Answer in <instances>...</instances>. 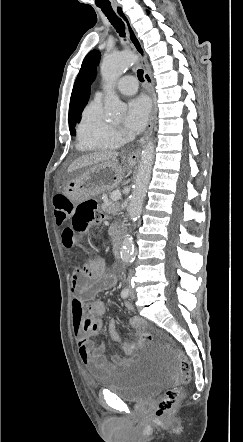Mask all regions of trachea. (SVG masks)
<instances>
[{"label":"trachea","mask_w":243,"mask_h":442,"mask_svg":"<svg viewBox=\"0 0 243 442\" xmlns=\"http://www.w3.org/2000/svg\"><path fill=\"white\" fill-rule=\"evenodd\" d=\"M99 8L102 10V12L105 14V16L108 18L110 23L115 27L117 32L121 37H125V26L123 21L119 18V16L114 12L113 8L111 6H99ZM144 72L142 69H139L137 71L138 79L141 82H144Z\"/></svg>","instance_id":"1"}]
</instances>
